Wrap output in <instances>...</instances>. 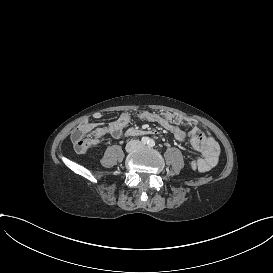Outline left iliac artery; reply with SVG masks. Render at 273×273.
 <instances>
[{"label": "left iliac artery", "instance_id": "left-iliac-artery-1", "mask_svg": "<svg viewBox=\"0 0 273 273\" xmlns=\"http://www.w3.org/2000/svg\"><path fill=\"white\" fill-rule=\"evenodd\" d=\"M148 145H149L150 147H153V146L155 145L154 140L151 139V140L149 141Z\"/></svg>", "mask_w": 273, "mask_h": 273}]
</instances>
